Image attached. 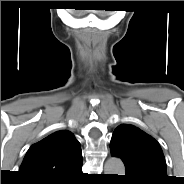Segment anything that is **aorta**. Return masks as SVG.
<instances>
[{
    "mask_svg": "<svg viewBox=\"0 0 184 184\" xmlns=\"http://www.w3.org/2000/svg\"><path fill=\"white\" fill-rule=\"evenodd\" d=\"M105 174L125 175L123 162L118 158H109L104 166Z\"/></svg>",
    "mask_w": 184,
    "mask_h": 184,
    "instance_id": "aorta-1",
    "label": "aorta"
}]
</instances>
